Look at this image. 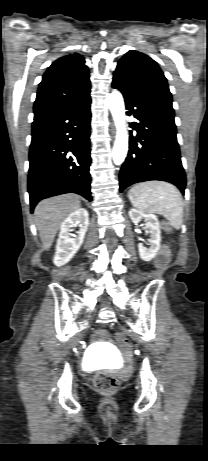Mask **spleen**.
I'll use <instances>...</instances> for the list:
<instances>
[{
  "label": "spleen",
  "instance_id": "spleen-1",
  "mask_svg": "<svg viewBox=\"0 0 208 461\" xmlns=\"http://www.w3.org/2000/svg\"><path fill=\"white\" fill-rule=\"evenodd\" d=\"M132 205L141 212L164 216L179 229L183 222V199L180 191L168 182L151 181L134 185L128 192Z\"/></svg>",
  "mask_w": 208,
  "mask_h": 461
}]
</instances>
